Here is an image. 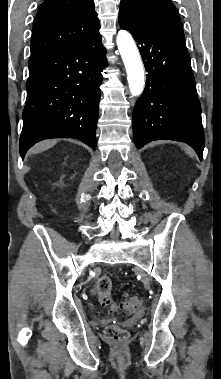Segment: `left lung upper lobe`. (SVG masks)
<instances>
[{"instance_id":"left-lung-upper-lobe-1","label":"left lung upper lobe","mask_w":221,"mask_h":379,"mask_svg":"<svg viewBox=\"0 0 221 379\" xmlns=\"http://www.w3.org/2000/svg\"><path fill=\"white\" fill-rule=\"evenodd\" d=\"M146 26L164 33L184 37L179 13L171 0H121Z\"/></svg>"}]
</instances>
